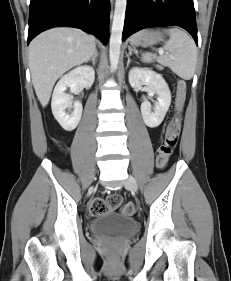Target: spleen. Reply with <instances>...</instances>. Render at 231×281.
Listing matches in <instances>:
<instances>
[{"instance_id":"3e777b00","label":"spleen","mask_w":231,"mask_h":281,"mask_svg":"<svg viewBox=\"0 0 231 281\" xmlns=\"http://www.w3.org/2000/svg\"><path fill=\"white\" fill-rule=\"evenodd\" d=\"M165 31L169 33L170 39L164 47L170 54L157 58V60L169 67L182 79L190 80L194 75L197 63V48L194 40L186 32L178 28ZM151 60L152 56L150 54L144 56V61L149 62Z\"/></svg>"}]
</instances>
